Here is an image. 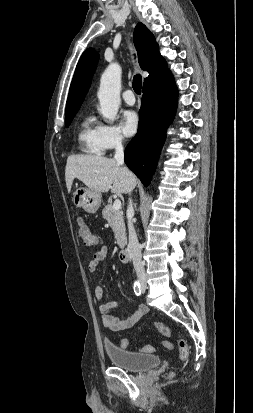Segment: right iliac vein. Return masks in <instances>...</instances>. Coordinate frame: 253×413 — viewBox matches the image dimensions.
Instances as JSON below:
<instances>
[{
	"label": "right iliac vein",
	"mask_w": 253,
	"mask_h": 413,
	"mask_svg": "<svg viewBox=\"0 0 253 413\" xmlns=\"http://www.w3.org/2000/svg\"><path fill=\"white\" fill-rule=\"evenodd\" d=\"M145 285L144 281L142 282V286Z\"/></svg>",
	"instance_id": "63e3f726"
}]
</instances>
